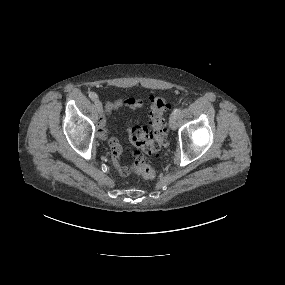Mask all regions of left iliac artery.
I'll list each match as a JSON object with an SVG mask.
<instances>
[{
    "mask_svg": "<svg viewBox=\"0 0 285 285\" xmlns=\"http://www.w3.org/2000/svg\"><path fill=\"white\" fill-rule=\"evenodd\" d=\"M182 108H177L173 111L172 115L178 117L181 114Z\"/></svg>",
    "mask_w": 285,
    "mask_h": 285,
    "instance_id": "44dca946",
    "label": "left iliac artery"
}]
</instances>
